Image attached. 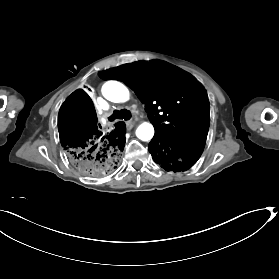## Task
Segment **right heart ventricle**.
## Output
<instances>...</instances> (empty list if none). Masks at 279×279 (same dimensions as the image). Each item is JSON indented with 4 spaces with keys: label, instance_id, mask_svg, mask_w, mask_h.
I'll return each instance as SVG.
<instances>
[{
    "label": "right heart ventricle",
    "instance_id": "obj_1",
    "mask_svg": "<svg viewBox=\"0 0 279 279\" xmlns=\"http://www.w3.org/2000/svg\"><path fill=\"white\" fill-rule=\"evenodd\" d=\"M95 71H96V68H95V67L92 68V69H91V74L94 73ZM115 83H117L118 85H120L121 87H123V88L125 89V87H124L122 84H120V83H118V82H115Z\"/></svg>",
    "mask_w": 279,
    "mask_h": 279
}]
</instances>
